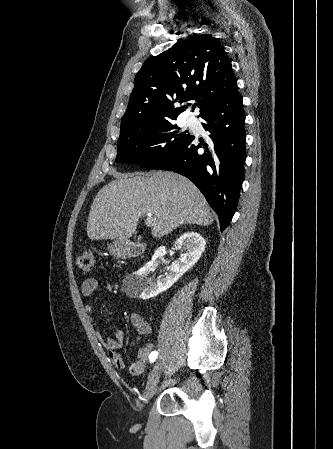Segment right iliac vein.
I'll return each instance as SVG.
<instances>
[{
  "label": "right iliac vein",
  "instance_id": "right-iliac-vein-1",
  "mask_svg": "<svg viewBox=\"0 0 333 449\" xmlns=\"http://www.w3.org/2000/svg\"><path fill=\"white\" fill-rule=\"evenodd\" d=\"M161 375V364L160 362H156L154 365L152 372L150 374L146 390H145V401L148 402L151 400L156 392L157 385L160 380Z\"/></svg>",
  "mask_w": 333,
  "mask_h": 449
}]
</instances>
